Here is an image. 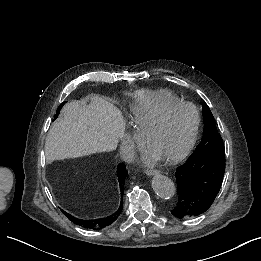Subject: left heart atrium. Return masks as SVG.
<instances>
[{"mask_svg":"<svg viewBox=\"0 0 261 261\" xmlns=\"http://www.w3.org/2000/svg\"><path fill=\"white\" fill-rule=\"evenodd\" d=\"M146 154L149 158H156V156L149 150L146 148Z\"/></svg>","mask_w":261,"mask_h":261,"instance_id":"39dd6f15","label":"left heart atrium"}]
</instances>
